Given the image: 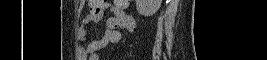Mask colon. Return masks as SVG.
<instances>
[{
	"instance_id": "colon-1",
	"label": "colon",
	"mask_w": 267,
	"mask_h": 60,
	"mask_svg": "<svg viewBox=\"0 0 267 60\" xmlns=\"http://www.w3.org/2000/svg\"><path fill=\"white\" fill-rule=\"evenodd\" d=\"M128 2H129V0H116L115 1V3L119 7H122L126 4H128ZM104 4H105V1H103V0H90L89 1L90 14H98L103 9ZM112 26L117 27V28H124L125 23L122 21H115V22H113Z\"/></svg>"
}]
</instances>
